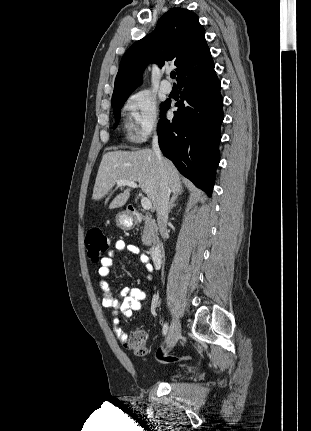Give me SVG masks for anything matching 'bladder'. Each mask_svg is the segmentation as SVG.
<instances>
[{
    "label": "bladder",
    "instance_id": "1",
    "mask_svg": "<svg viewBox=\"0 0 311 431\" xmlns=\"http://www.w3.org/2000/svg\"><path fill=\"white\" fill-rule=\"evenodd\" d=\"M176 376L177 375L174 374V373H170V374L167 375V377L170 378V379H174Z\"/></svg>",
    "mask_w": 311,
    "mask_h": 431
}]
</instances>
